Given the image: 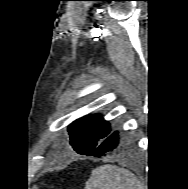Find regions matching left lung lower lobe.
I'll return each mask as SVG.
<instances>
[{
  "label": "left lung lower lobe",
  "instance_id": "0a47b994",
  "mask_svg": "<svg viewBox=\"0 0 188 189\" xmlns=\"http://www.w3.org/2000/svg\"><path fill=\"white\" fill-rule=\"evenodd\" d=\"M118 145V132H114L103 140L91 153L87 156L100 157L105 153L112 151Z\"/></svg>",
  "mask_w": 188,
  "mask_h": 189
}]
</instances>
